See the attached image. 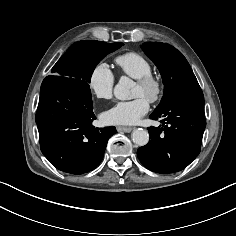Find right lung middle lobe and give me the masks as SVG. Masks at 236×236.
Returning <instances> with one entry per match:
<instances>
[{"instance_id": "dd1d6c3e", "label": "right lung middle lobe", "mask_w": 236, "mask_h": 236, "mask_svg": "<svg viewBox=\"0 0 236 236\" xmlns=\"http://www.w3.org/2000/svg\"><path fill=\"white\" fill-rule=\"evenodd\" d=\"M123 43H105L83 40L71 45L52 68L53 77L66 78L77 88L91 94L89 83L96 65L109 53L117 50ZM44 79V80H45Z\"/></svg>"}]
</instances>
